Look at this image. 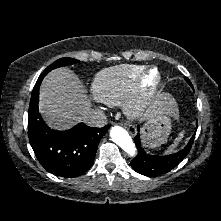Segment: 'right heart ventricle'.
Masks as SVG:
<instances>
[{
  "label": "right heart ventricle",
  "mask_w": 221,
  "mask_h": 221,
  "mask_svg": "<svg viewBox=\"0 0 221 221\" xmlns=\"http://www.w3.org/2000/svg\"><path fill=\"white\" fill-rule=\"evenodd\" d=\"M143 69L141 65L122 64L100 71L92 82L93 97L109 106L122 104L129 96L135 78Z\"/></svg>",
  "instance_id": "1"
}]
</instances>
